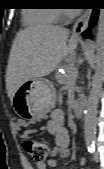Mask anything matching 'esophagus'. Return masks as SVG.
I'll return each instance as SVG.
<instances>
[{"label":"esophagus","instance_id":"obj_1","mask_svg":"<svg viewBox=\"0 0 104 169\" xmlns=\"http://www.w3.org/2000/svg\"><path fill=\"white\" fill-rule=\"evenodd\" d=\"M91 14L92 10L88 9L81 15V17L73 25V34L79 35L87 28Z\"/></svg>","mask_w":104,"mask_h":169}]
</instances>
